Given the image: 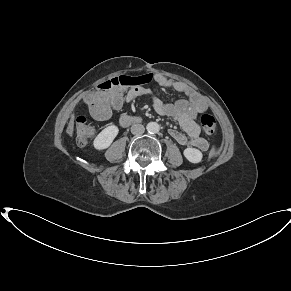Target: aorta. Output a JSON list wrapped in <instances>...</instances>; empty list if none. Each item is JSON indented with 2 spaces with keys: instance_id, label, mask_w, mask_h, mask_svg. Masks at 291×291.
Listing matches in <instances>:
<instances>
[{
  "instance_id": "762f6f07",
  "label": "aorta",
  "mask_w": 291,
  "mask_h": 291,
  "mask_svg": "<svg viewBox=\"0 0 291 291\" xmlns=\"http://www.w3.org/2000/svg\"><path fill=\"white\" fill-rule=\"evenodd\" d=\"M159 129H160V126L156 122H150V123L147 124V131L149 133H152V134L158 133Z\"/></svg>"
}]
</instances>
